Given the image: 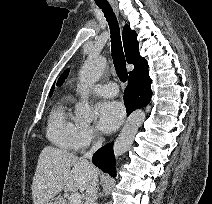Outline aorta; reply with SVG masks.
Wrapping results in <instances>:
<instances>
[{"label":"aorta","mask_w":212,"mask_h":204,"mask_svg":"<svg viewBox=\"0 0 212 204\" xmlns=\"http://www.w3.org/2000/svg\"><path fill=\"white\" fill-rule=\"evenodd\" d=\"M106 65L107 61L105 57L101 55H90L79 72L81 101L75 105V113L81 122L89 123L94 117L93 108L88 101V91L101 78ZM144 120L145 113L142 110L134 111L128 117L114 143V154L116 157L123 155L130 149L138 128Z\"/></svg>","instance_id":"aorta-1"}]
</instances>
